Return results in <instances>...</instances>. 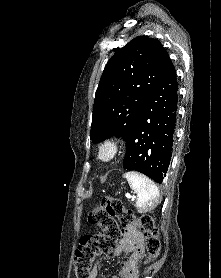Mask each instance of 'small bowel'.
Listing matches in <instances>:
<instances>
[{
    "instance_id": "obj_1",
    "label": "small bowel",
    "mask_w": 221,
    "mask_h": 278,
    "mask_svg": "<svg viewBox=\"0 0 221 278\" xmlns=\"http://www.w3.org/2000/svg\"><path fill=\"white\" fill-rule=\"evenodd\" d=\"M121 253L129 254V258L121 263L120 272L112 278H138L136 266L144 255L143 236L133 226H125L122 229V238L112 252V256ZM99 263L95 264L90 273V278H99Z\"/></svg>"
}]
</instances>
